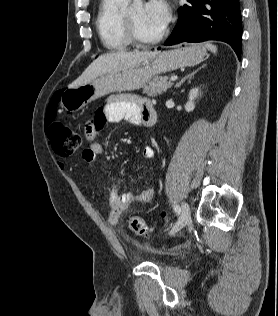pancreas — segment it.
<instances>
[{
    "mask_svg": "<svg viewBox=\"0 0 278 316\" xmlns=\"http://www.w3.org/2000/svg\"><path fill=\"white\" fill-rule=\"evenodd\" d=\"M172 86L167 77H159L151 80L149 85L143 87V93L150 97H155L167 91Z\"/></svg>",
    "mask_w": 278,
    "mask_h": 316,
    "instance_id": "cf45deb5",
    "label": "pancreas"
}]
</instances>
